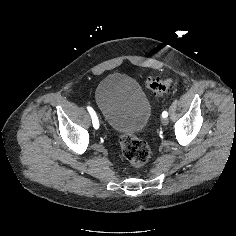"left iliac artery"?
<instances>
[{
	"label": "left iliac artery",
	"mask_w": 236,
	"mask_h": 236,
	"mask_svg": "<svg viewBox=\"0 0 236 236\" xmlns=\"http://www.w3.org/2000/svg\"><path fill=\"white\" fill-rule=\"evenodd\" d=\"M168 116V112L167 111H163L162 112V117H167Z\"/></svg>",
	"instance_id": "44dca946"
}]
</instances>
